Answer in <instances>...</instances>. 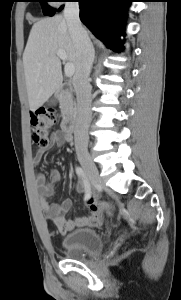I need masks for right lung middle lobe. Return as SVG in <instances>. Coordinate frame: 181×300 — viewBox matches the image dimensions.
<instances>
[{"label": "right lung middle lobe", "mask_w": 181, "mask_h": 300, "mask_svg": "<svg viewBox=\"0 0 181 300\" xmlns=\"http://www.w3.org/2000/svg\"><path fill=\"white\" fill-rule=\"evenodd\" d=\"M32 1H38V2L41 3V6H42V10H43L44 15H50V16L54 15V13H55L56 10L53 9V8H51V7L47 4L48 0H32Z\"/></svg>", "instance_id": "right-lung-middle-lobe-1"}]
</instances>
